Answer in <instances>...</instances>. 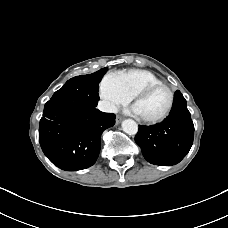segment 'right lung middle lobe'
<instances>
[{
	"label": "right lung middle lobe",
	"mask_w": 228,
	"mask_h": 228,
	"mask_svg": "<svg viewBox=\"0 0 228 228\" xmlns=\"http://www.w3.org/2000/svg\"><path fill=\"white\" fill-rule=\"evenodd\" d=\"M107 68L89 74L76 76L68 80L64 86L56 91L50 101H60L79 108H94L99 101V82Z\"/></svg>",
	"instance_id": "1"
}]
</instances>
